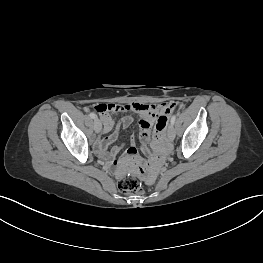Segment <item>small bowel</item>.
I'll return each mask as SVG.
<instances>
[{"label":"small bowel","mask_w":263,"mask_h":263,"mask_svg":"<svg viewBox=\"0 0 263 263\" xmlns=\"http://www.w3.org/2000/svg\"><path fill=\"white\" fill-rule=\"evenodd\" d=\"M180 104L174 99H169L166 102V110L163 113H140L139 126V142L142 150L149 154L150 149V162L142 163L136 149L135 138L132 137L130 144L126 149L125 154L120 158L115 157L121 151L122 146L119 144L113 145L118 138V128H128L132 123V117L126 116L119 120L118 128L110 133L115 127L116 123L111 115H100L103 122V132L110 133L105 137L97 139L95 142L96 152L103 158L110 161L119 173H122L128 167H136L139 174H145L144 181L147 184H152L155 181V176L159 172L163 164V144L165 135L168 132V126L172 121V117L179 111Z\"/></svg>","instance_id":"c3829d8e"}]
</instances>
